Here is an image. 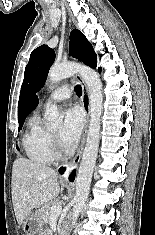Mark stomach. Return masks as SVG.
<instances>
[{
  "mask_svg": "<svg viewBox=\"0 0 155 235\" xmlns=\"http://www.w3.org/2000/svg\"><path fill=\"white\" fill-rule=\"evenodd\" d=\"M44 216L42 209L29 213L23 222V231L25 235H36L39 233L44 225Z\"/></svg>",
  "mask_w": 155,
  "mask_h": 235,
  "instance_id": "0dacf381",
  "label": "stomach"
}]
</instances>
